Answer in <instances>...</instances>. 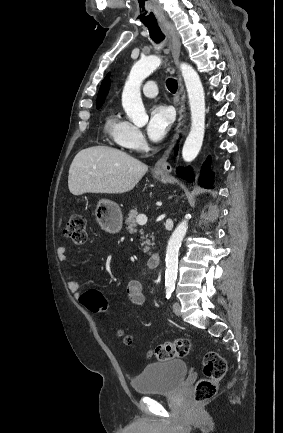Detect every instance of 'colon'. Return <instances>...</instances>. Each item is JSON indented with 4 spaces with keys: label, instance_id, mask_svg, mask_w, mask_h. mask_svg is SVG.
I'll use <instances>...</instances> for the list:
<instances>
[{
    "label": "colon",
    "instance_id": "obj_1",
    "mask_svg": "<svg viewBox=\"0 0 283 433\" xmlns=\"http://www.w3.org/2000/svg\"><path fill=\"white\" fill-rule=\"evenodd\" d=\"M64 234L75 244H84L87 240V224L84 215L80 212H73L64 227ZM81 304L95 314H103L108 303L105 297L97 290H89L80 297ZM122 344L130 347L133 343L130 335L118 332ZM192 351V342L187 338H178L173 341L157 345L149 352L157 360L167 361L174 358H183ZM227 370L225 359L217 352H207L203 356L204 377L195 387V400L203 402L212 398L218 389V383L224 377Z\"/></svg>",
    "mask_w": 283,
    "mask_h": 433
}]
</instances>
